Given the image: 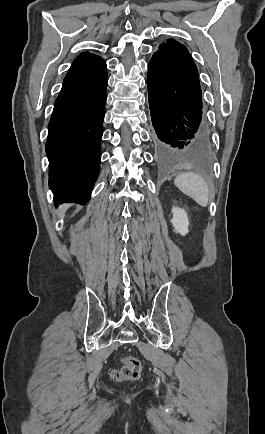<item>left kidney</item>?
<instances>
[{"label": "left kidney", "mask_w": 265, "mask_h": 434, "mask_svg": "<svg viewBox=\"0 0 265 434\" xmlns=\"http://www.w3.org/2000/svg\"><path fill=\"white\" fill-rule=\"evenodd\" d=\"M172 214L171 224H173L174 232L181 234V236H186L188 234L189 222L185 210H182V208H172Z\"/></svg>", "instance_id": "left-kidney-1"}]
</instances>
